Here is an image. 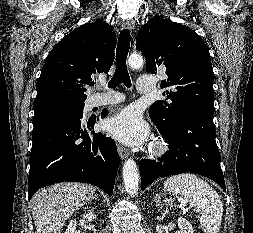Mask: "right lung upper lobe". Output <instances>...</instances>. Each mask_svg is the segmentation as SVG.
I'll return each mask as SVG.
<instances>
[{
	"label": "right lung upper lobe",
	"instance_id": "1",
	"mask_svg": "<svg viewBox=\"0 0 253 233\" xmlns=\"http://www.w3.org/2000/svg\"><path fill=\"white\" fill-rule=\"evenodd\" d=\"M102 20L66 35L48 54L37 81L34 104L52 99L85 100L96 73H107L114 61L116 34Z\"/></svg>",
	"mask_w": 253,
	"mask_h": 233
}]
</instances>
